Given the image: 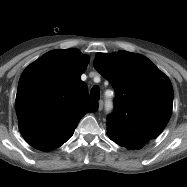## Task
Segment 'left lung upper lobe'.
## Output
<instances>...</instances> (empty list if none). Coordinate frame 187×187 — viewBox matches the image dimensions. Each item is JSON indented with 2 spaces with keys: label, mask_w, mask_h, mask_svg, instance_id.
Instances as JSON below:
<instances>
[{
  "label": "left lung upper lobe",
  "mask_w": 187,
  "mask_h": 187,
  "mask_svg": "<svg viewBox=\"0 0 187 187\" xmlns=\"http://www.w3.org/2000/svg\"><path fill=\"white\" fill-rule=\"evenodd\" d=\"M93 65L115 89V109L107 118L110 139L140 149L159 136L172 113L169 78L145 56L127 51L97 53Z\"/></svg>",
  "instance_id": "left-lung-upper-lobe-1"
}]
</instances>
